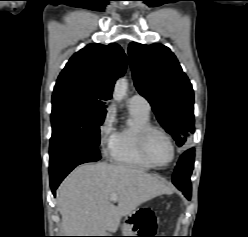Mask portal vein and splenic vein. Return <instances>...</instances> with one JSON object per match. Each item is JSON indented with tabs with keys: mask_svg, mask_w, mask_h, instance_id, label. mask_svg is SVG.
Segmentation results:
<instances>
[{
	"mask_svg": "<svg viewBox=\"0 0 248 237\" xmlns=\"http://www.w3.org/2000/svg\"><path fill=\"white\" fill-rule=\"evenodd\" d=\"M110 199L114 202L118 200V195L117 194H112L110 195Z\"/></svg>",
	"mask_w": 248,
	"mask_h": 237,
	"instance_id": "obj_1",
	"label": "portal vein and splenic vein"
}]
</instances>
